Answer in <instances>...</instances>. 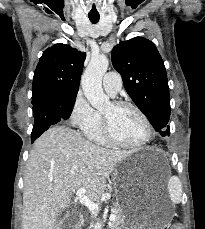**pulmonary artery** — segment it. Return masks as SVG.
<instances>
[{
	"label": "pulmonary artery",
	"instance_id": "e3ab8cb5",
	"mask_svg": "<svg viewBox=\"0 0 205 229\" xmlns=\"http://www.w3.org/2000/svg\"><path fill=\"white\" fill-rule=\"evenodd\" d=\"M121 77L117 72H108L103 78V88L110 95L115 96L121 89Z\"/></svg>",
	"mask_w": 205,
	"mask_h": 229
}]
</instances>
